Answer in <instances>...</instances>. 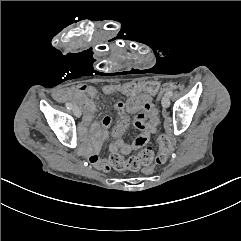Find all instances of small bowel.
Returning <instances> with one entry per match:
<instances>
[{
    "mask_svg": "<svg viewBox=\"0 0 241 241\" xmlns=\"http://www.w3.org/2000/svg\"><path fill=\"white\" fill-rule=\"evenodd\" d=\"M107 84L103 86L102 93L106 96L112 94L113 89ZM98 90L91 85L80 84L70 89H64L56 94V97L61 101L75 100L78 101L85 111V124L91 121V115L95 110L93 102L87 100L84 96L89 97L98 96ZM155 94H135L132 99H127L126 102L117 101L114 107L117 111H123L125 108L129 112H139L133 121L128 116H123L119 123L112 129V136L115 141L110 145L109 150L111 154L128 155L145 146L151 137L157 132L159 125L158 109L154 105L152 99ZM140 132V134L130 143L121 139L122 135L127 131L130 125ZM111 125V118L105 116L101 124L94 123L91 126L93 135L92 148L87 152L86 157L91 165L94 167L107 171L110 168L109 162L105 159H100L97 155L101 152V143L108 136V129Z\"/></svg>",
    "mask_w": 241,
    "mask_h": 241,
    "instance_id": "c3829d8e",
    "label": "small bowel"
}]
</instances>
